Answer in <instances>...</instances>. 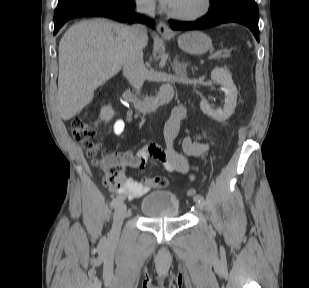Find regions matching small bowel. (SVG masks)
<instances>
[{
	"label": "small bowel",
	"instance_id": "1",
	"mask_svg": "<svg viewBox=\"0 0 309 288\" xmlns=\"http://www.w3.org/2000/svg\"><path fill=\"white\" fill-rule=\"evenodd\" d=\"M186 112L187 109L183 105L176 107L172 111L164 129L165 147L150 143L141 148L136 154L131 151H123L113 154L112 158L121 165L136 169L144 168L149 159H154L170 172L192 176L196 166L191 165L186 156L199 157L206 153L213 146V143H202L185 136L182 140L183 153L174 148V140L179 133L180 124ZM124 127V120L118 119L113 123V131L117 135L123 132ZM153 185V182L144 184L133 178H128L118 189V192L130 199L140 198L148 193Z\"/></svg>",
	"mask_w": 309,
	"mask_h": 288
}]
</instances>
